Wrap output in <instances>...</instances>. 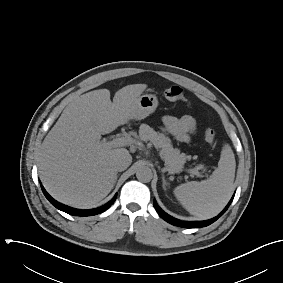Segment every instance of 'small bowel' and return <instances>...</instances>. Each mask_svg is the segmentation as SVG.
<instances>
[{"label": "small bowel", "mask_w": 283, "mask_h": 283, "mask_svg": "<svg viewBox=\"0 0 283 283\" xmlns=\"http://www.w3.org/2000/svg\"><path fill=\"white\" fill-rule=\"evenodd\" d=\"M163 130L179 142H188L196 131V122L191 115L180 118L166 115L163 117Z\"/></svg>", "instance_id": "1"}]
</instances>
